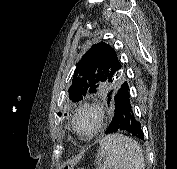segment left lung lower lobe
I'll return each mask as SVG.
<instances>
[{
	"mask_svg": "<svg viewBox=\"0 0 177 169\" xmlns=\"http://www.w3.org/2000/svg\"><path fill=\"white\" fill-rule=\"evenodd\" d=\"M108 104L114 105L115 111L110 127L105 133L124 130L140 139L144 138L141 123L136 120L130 104L129 87L126 81L122 83L113 96H108Z\"/></svg>",
	"mask_w": 177,
	"mask_h": 169,
	"instance_id": "0a47b994",
	"label": "left lung lower lobe"
}]
</instances>
